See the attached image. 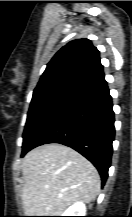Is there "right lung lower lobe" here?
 I'll list each match as a JSON object with an SVG mask.
<instances>
[{
	"label": "right lung lower lobe",
	"mask_w": 132,
	"mask_h": 217,
	"mask_svg": "<svg viewBox=\"0 0 132 217\" xmlns=\"http://www.w3.org/2000/svg\"><path fill=\"white\" fill-rule=\"evenodd\" d=\"M112 106L107 84L79 95L59 113L29 150L47 143L69 146L93 163L104 185L115 136Z\"/></svg>",
	"instance_id": "right-lung-lower-lobe-1"
}]
</instances>
